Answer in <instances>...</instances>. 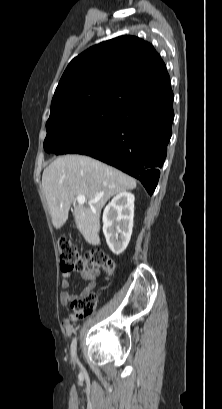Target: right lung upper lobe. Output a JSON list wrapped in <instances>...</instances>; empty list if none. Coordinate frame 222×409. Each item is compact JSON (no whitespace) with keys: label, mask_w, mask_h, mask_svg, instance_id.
Masks as SVG:
<instances>
[{"label":"right lung upper lobe","mask_w":222,"mask_h":409,"mask_svg":"<svg viewBox=\"0 0 222 409\" xmlns=\"http://www.w3.org/2000/svg\"><path fill=\"white\" fill-rule=\"evenodd\" d=\"M166 66L154 47L135 36H120L75 57L54 93L51 112L79 104L124 103L171 89Z\"/></svg>","instance_id":"right-lung-upper-lobe-1"}]
</instances>
